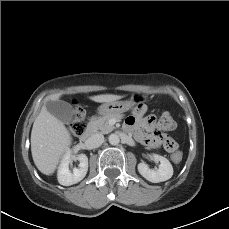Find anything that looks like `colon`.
<instances>
[{"label": "colon", "instance_id": "5ec220e1", "mask_svg": "<svg viewBox=\"0 0 229 229\" xmlns=\"http://www.w3.org/2000/svg\"><path fill=\"white\" fill-rule=\"evenodd\" d=\"M172 118L163 117L160 121V130L166 131L173 128ZM85 111L81 106H76L73 113L72 121L69 124V130L76 136L84 134L86 131ZM158 138L160 139L165 150L171 153L172 160L176 163L182 160V154L177 151V143L168 135L159 132Z\"/></svg>", "mask_w": 229, "mask_h": 229}]
</instances>
